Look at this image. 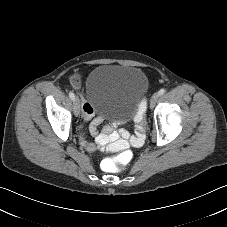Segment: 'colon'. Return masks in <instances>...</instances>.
I'll list each match as a JSON object with an SVG mask.
<instances>
[{
	"mask_svg": "<svg viewBox=\"0 0 227 227\" xmlns=\"http://www.w3.org/2000/svg\"><path fill=\"white\" fill-rule=\"evenodd\" d=\"M136 119H140V114L137 115ZM118 161L122 164L124 160L122 157H119Z\"/></svg>",
	"mask_w": 227,
	"mask_h": 227,
	"instance_id": "5ec220e1",
	"label": "colon"
}]
</instances>
